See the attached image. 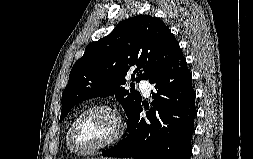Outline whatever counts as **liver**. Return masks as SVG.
Masks as SVG:
<instances>
[{"label":"liver","instance_id":"obj_1","mask_svg":"<svg viewBox=\"0 0 253 159\" xmlns=\"http://www.w3.org/2000/svg\"><path fill=\"white\" fill-rule=\"evenodd\" d=\"M93 159V158H92ZM96 159H107V158H96Z\"/></svg>","mask_w":253,"mask_h":159}]
</instances>
